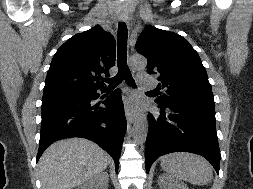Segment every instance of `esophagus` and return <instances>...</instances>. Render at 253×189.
<instances>
[{
  "label": "esophagus",
  "instance_id": "obj_1",
  "mask_svg": "<svg viewBox=\"0 0 253 189\" xmlns=\"http://www.w3.org/2000/svg\"><path fill=\"white\" fill-rule=\"evenodd\" d=\"M127 19L128 18H127L126 15H120L119 16V20L121 22H127ZM133 72H135V71H133ZM135 118H136L135 114H133V113H131L129 111L126 112V119H127L128 124H132L134 122Z\"/></svg>",
  "mask_w": 253,
  "mask_h": 189
}]
</instances>
